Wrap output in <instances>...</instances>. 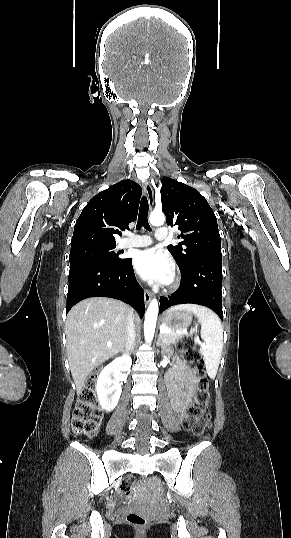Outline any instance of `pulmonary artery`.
Returning a JSON list of instances; mask_svg holds the SVG:
<instances>
[{
  "mask_svg": "<svg viewBox=\"0 0 291 538\" xmlns=\"http://www.w3.org/2000/svg\"><path fill=\"white\" fill-rule=\"evenodd\" d=\"M168 236V231L166 228H159L156 231L155 237L157 240H164ZM152 239L149 236L142 235V236H135L129 239H124L121 241L120 245L123 248L128 247H147L151 245Z\"/></svg>",
  "mask_w": 291,
  "mask_h": 538,
  "instance_id": "pulmonary-artery-1",
  "label": "pulmonary artery"
}]
</instances>
